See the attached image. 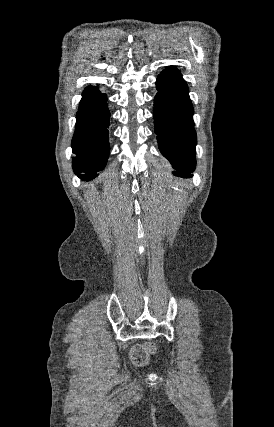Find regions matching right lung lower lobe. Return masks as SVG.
Here are the masks:
<instances>
[{"label": "right lung lower lobe", "instance_id": "98d812e1", "mask_svg": "<svg viewBox=\"0 0 274 427\" xmlns=\"http://www.w3.org/2000/svg\"><path fill=\"white\" fill-rule=\"evenodd\" d=\"M109 116L107 96L98 87H87L82 94L72 140L73 170L82 180H92L105 167L109 155Z\"/></svg>", "mask_w": 274, "mask_h": 427}]
</instances>
